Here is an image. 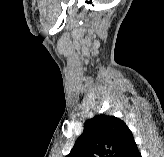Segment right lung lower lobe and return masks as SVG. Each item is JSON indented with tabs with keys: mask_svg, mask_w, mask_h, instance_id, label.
I'll use <instances>...</instances> for the list:
<instances>
[{
	"mask_svg": "<svg viewBox=\"0 0 164 157\" xmlns=\"http://www.w3.org/2000/svg\"><path fill=\"white\" fill-rule=\"evenodd\" d=\"M120 157H141L135 141H131Z\"/></svg>",
	"mask_w": 164,
	"mask_h": 157,
	"instance_id": "right-lung-lower-lobe-1",
	"label": "right lung lower lobe"
}]
</instances>
